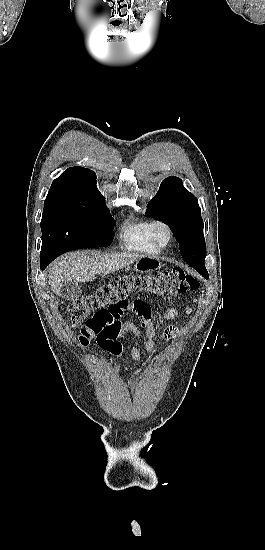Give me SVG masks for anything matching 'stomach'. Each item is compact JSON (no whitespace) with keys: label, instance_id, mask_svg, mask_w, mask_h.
<instances>
[{"label":"stomach","instance_id":"obj_1","mask_svg":"<svg viewBox=\"0 0 265 550\" xmlns=\"http://www.w3.org/2000/svg\"><path fill=\"white\" fill-rule=\"evenodd\" d=\"M162 267V263L155 257H144L138 259L134 265V270L139 273L152 272Z\"/></svg>","mask_w":265,"mask_h":550}]
</instances>
